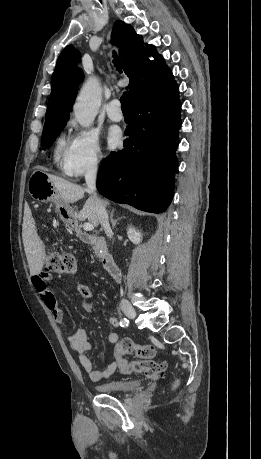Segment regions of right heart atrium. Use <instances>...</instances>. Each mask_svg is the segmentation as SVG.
Here are the masks:
<instances>
[{
    "instance_id": "right-heart-atrium-1",
    "label": "right heart atrium",
    "mask_w": 261,
    "mask_h": 459,
    "mask_svg": "<svg viewBox=\"0 0 261 459\" xmlns=\"http://www.w3.org/2000/svg\"><path fill=\"white\" fill-rule=\"evenodd\" d=\"M73 127L74 134L66 170L71 176H81L97 169L103 159V153L94 131Z\"/></svg>"
}]
</instances>
